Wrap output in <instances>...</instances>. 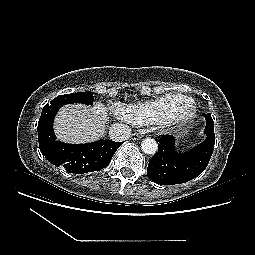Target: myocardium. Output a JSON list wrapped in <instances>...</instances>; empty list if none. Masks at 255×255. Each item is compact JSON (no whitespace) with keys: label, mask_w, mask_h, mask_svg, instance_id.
Masks as SVG:
<instances>
[{"label":"myocardium","mask_w":255,"mask_h":255,"mask_svg":"<svg viewBox=\"0 0 255 255\" xmlns=\"http://www.w3.org/2000/svg\"><path fill=\"white\" fill-rule=\"evenodd\" d=\"M194 102L188 104H173L162 115L160 120L154 124H158L164 129L173 130L186 126L195 114Z\"/></svg>","instance_id":"f54148a6"}]
</instances>
